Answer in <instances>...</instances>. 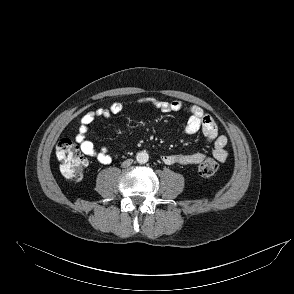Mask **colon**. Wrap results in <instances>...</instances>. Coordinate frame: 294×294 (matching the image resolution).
Instances as JSON below:
<instances>
[{
    "label": "colon",
    "instance_id": "obj_1",
    "mask_svg": "<svg viewBox=\"0 0 294 294\" xmlns=\"http://www.w3.org/2000/svg\"><path fill=\"white\" fill-rule=\"evenodd\" d=\"M56 157L60 161V170L63 176L72 180H79L87 165L79 147L71 138L61 139L56 146ZM219 164L216 159L205 157L198 166L199 174L211 177L218 171Z\"/></svg>",
    "mask_w": 294,
    "mask_h": 294
}]
</instances>
